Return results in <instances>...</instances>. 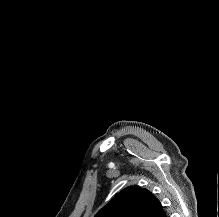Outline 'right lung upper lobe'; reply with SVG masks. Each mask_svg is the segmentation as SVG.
I'll return each mask as SVG.
<instances>
[{
    "label": "right lung upper lobe",
    "instance_id": "obj_1",
    "mask_svg": "<svg viewBox=\"0 0 219 217\" xmlns=\"http://www.w3.org/2000/svg\"><path fill=\"white\" fill-rule=\"evenodd\" d=\"M95 217H167L159 200L147 189L129 186L107 203Z\"/></svg>",
    "mask_w": 219,
    "mask_h": 217
}]
</instances>
